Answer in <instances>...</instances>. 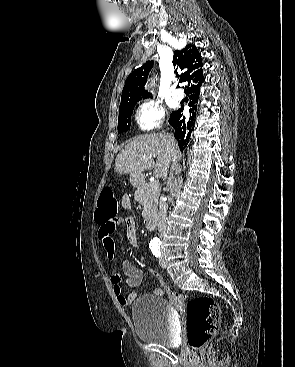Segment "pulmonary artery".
<instances>
[{"label": "pulmonary artery", "mask_w": 295, "mask_h": 367, "mask_svg": "<svg viewBox=\"0 0 295 367\" xmlns=\"http://www.w3.org/2000/svg\"><path fill=\"white\" fill-rule=\"evenodd\" d=\"M172 96H173V98H174V99H176V100H182V99H183V97H184V93H183L181 90L176 89V90H174V91L172 92Z\"/></svg>", "instance_id": "obj_1"}]
</instances>
